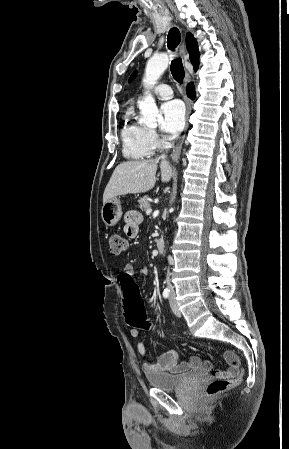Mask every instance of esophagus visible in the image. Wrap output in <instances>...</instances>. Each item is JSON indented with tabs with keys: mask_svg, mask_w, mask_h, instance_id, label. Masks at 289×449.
<instances>
[{
	"mask_svg": "<svg viewBox=\"0 0 289 449\" xmlns=\"http://www.w3.org/2000/svg\"><path fill=\"white\" fill-rule=\"evenodd\" d=\"M185 53H186L185 46H184V44H182V45L180 46V54H181L182 56H184ZM188 82H189V79L186 78V79H185V85H187ZM185 102H186V109H187V110H186V121H187V122H186V129H187V127H188V118H189V115H190V113H191V101H190L189 98L185 97ZM184 138H185V136L182 137V140H181V142L179 143V145L173 150V152H172V154H171L172 160H177V159L179 158L180 153H181V149H182V144H183Z\"/></svg>",
	"mask_w": 289,
	"mask_h": 449,
	"instance_id": "1",
	"label": "esophagus"
}]
</instances>
